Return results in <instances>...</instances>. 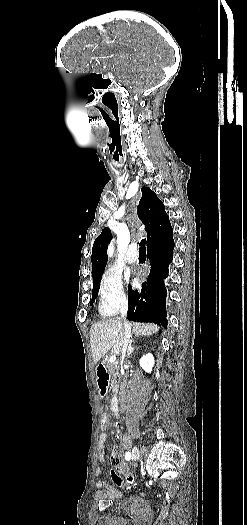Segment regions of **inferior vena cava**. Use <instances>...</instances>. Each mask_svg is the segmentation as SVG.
Here are the masks:
<instances>
[{
    "mask_svg": "<svg viewBox=\"0 0 247 525\" xmlns=\"http://www.w3.org/2000/svg\"><path fill=\"white\" fill-rule=\"evenodd\" d=\"M127 313H128L127 303H120V317L124 325V335L122 337V349H121V363L126 353L128 355V347H129L130 337H131V327L130 325H128L126 321Z\"/></svg>",
    "mask_w": 247,
    "mask_h": 525,
    "instance_id": "602c4592",
    "label": "inferior vena cava"
}]
</instances>
